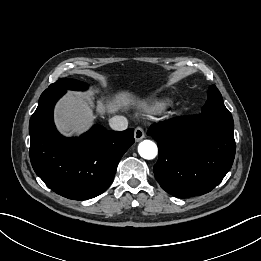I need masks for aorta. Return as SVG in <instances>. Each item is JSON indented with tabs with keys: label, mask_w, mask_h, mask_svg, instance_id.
Wrapping results in <instances>:
<instances>
[{
	"label": "aorta",
	"mask_w": 261,
	"mask_h": 261,
	"mask_svg": "<svg viewBox=\"0 0 261 261\" xmlns=\"http://www.w3.org/2000/svg\"><path fill=\"white\" fill-rule=\"evenodd\" d=\"M138 153L144 159H154L158 153L157 145L150 140H144L138 145Z\"/></svg>",
	"instance_id": "obj_1"
}]
</instances>
